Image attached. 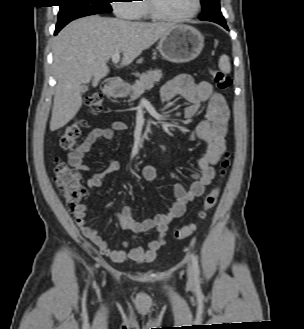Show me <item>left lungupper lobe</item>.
Segmentation results:
<instances>
[{"instance_id": "1", "label": "left lung upper lobe", "mask_w": 304, "mask_h": 329, "mask_svg": "<svg viewBox=\"0 0 304 329\" xmlns=\"http://www.w3.org/2000/svg\"><path fill=\"white\" fill-rule=\"evenodd\" d=\"M214 1H216V0H201L202 9L208 7Z\"/></svg>"}]
</instances>
